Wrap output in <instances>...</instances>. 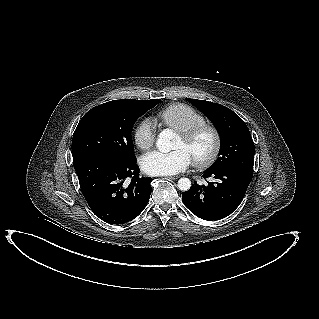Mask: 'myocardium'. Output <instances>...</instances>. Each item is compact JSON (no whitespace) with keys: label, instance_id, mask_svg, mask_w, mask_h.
<instances>
[{"label":"myocardium","instance_id":"myocardium-1","mask_svg":"<svg viewBox=\"0 0 319 319\" xmlns=\"http://www.w3.org/2000/svg\"><path fill=\"white\" fill-rule=\"evenodd\" d=\"M208 133L212 140V146L208 154L203 158H194L192 159L193 165L197 168L204 169L211 166L218 158L221 146L222 139L219 130L208 123H201L195 125L187 130L178 132V135L185 141L191 142L201 133Z\"/></svg>","mask_w":319,"mask_h":319}]
</instances>
